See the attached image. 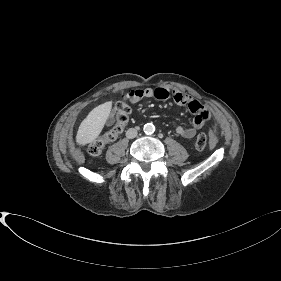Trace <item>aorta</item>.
I'll use <instances>...</instances> for the list:
<instances>
[{
	"label": "aorta",
	"instance_id": "762f6f07",
	"mask_svg": "<svg viewBox=\"0 0 281 281\" xmlns=\"http://www.w3.org/2000/svg\"><path fill=\"white\" fill-rule=\"evenodd\" d=\"M143 130L146 134H153L155 132V126L152 123H146Z\"/></svg>",
	"mask_w": 281,
	"mask_h": 281
}]
</instances>
